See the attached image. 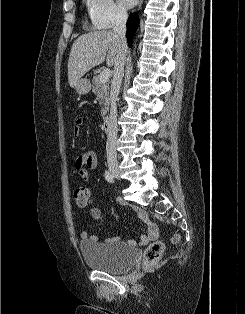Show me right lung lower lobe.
Masks as SVG:
<instances>
[{"label": "right lung lower lobe", "instance_id": "obj_1", "mask_svg": "<svg viewBox=\"0 0 245 314\" xmlns=\"http://www.w3.org/2000/svg\"><path fill=\"white\" fill-rule=\"evenodd\" d=\"M138 24H139V20H138L137 14L136 13L131 14L126 24L127 26L126 37H127L129 46H131L132 44V37L135 31L137 30Z\"/></svg>", "mask_w": 245, "mask_h": 314}]
</instances>
